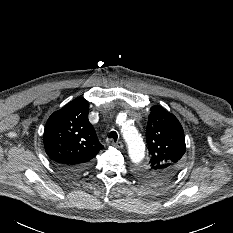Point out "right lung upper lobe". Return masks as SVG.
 Returning <instances> with one entry per match:
<instances>
[{
	"label": "right lung upper lobe",
	"mask_w": 233,
	"mask_h": 233,
	"mask_svg": "<svg viewBox=\"0 0 233 233\" xmlns=\"http://www.w3.org/2000/svg\"><path fill=\"white\" fill-rule=\"evenodd\" d=\"M89 104L76 98L48 119L44 131L47 155L59 167L76 171L88 166L103 148L88 120Z\"/></svg>",
	"instance_id": "right-lung-upper-lobe-1"
}]
</instances>
